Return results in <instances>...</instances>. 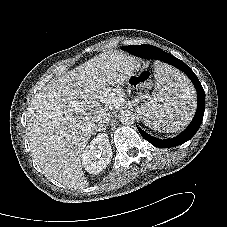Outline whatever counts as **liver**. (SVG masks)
I'll return each instance as SVG.
<instances>
[{
    "label": "liver",
    "instance_id": "obj_1",
    "mask_svg": "<svg viewBox=\"0 0 227 227\" xmlns=\"http://www.w3.org/2000/svg\"><path fill=\"white\" fill-rule=\"evenodd\" d=\"M135 67L130 56L104 52L34 95L27 110V138L48 177L73 190L88 186L82 153L93 132L103 131L104 126L94 127L97 120L121 104L122 93L116 96L110 87L123 84Z\"/></svg>",
    "mask_w": 227,
    "mask_h": 227
}]
</instances>
